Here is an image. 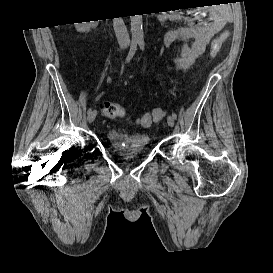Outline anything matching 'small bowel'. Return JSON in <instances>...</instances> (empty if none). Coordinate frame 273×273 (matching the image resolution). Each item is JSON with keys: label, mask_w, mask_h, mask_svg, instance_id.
<instances>
[{"label": "small bowel", "mask_w": 273, "mask_h": 273, "mask_svg": "<svg viewBox=\"0 0 273 273\" xmlns=\"http://www.w3.org/2000/svg\"><path fill=\"white\" fill-rule=\"evenodd\" d=\"M211 9L191 11L187 14L176 12L168 13L169 19H182L185 25L175 30L168 31L163 36V43L167 46L179 43L180 54L175 60L176 71H186L195 61L203 55L206 46L212 38L216 37L219 42L225 41L228 33L222 31L229 21V16L224 10L216 12Z\"/></svg>", "instance_id": "obj_1"}]
</instances>
